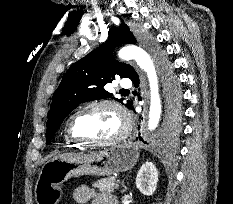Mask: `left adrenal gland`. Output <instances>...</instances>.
<instances>
[{
	"label": "left adrenal gland",
	"instance_id": "a2214340",
	"mask_svg": "<svg viewBox=\"0 0 233 204\" xmlns=\"http://www.w3.org/2000/svg\"><path fill=\"white\" fill-rule=\"evenodd\" d=\"M122 185H123V187H124V188H126V187L124 186V184H123V183H122ZM124 191H125V189H124L122 192H124Z\"/></svg>",
	"mask_w": 233,
	"mask_h": 204
}]
</instances>
